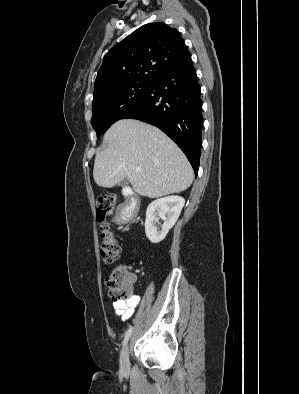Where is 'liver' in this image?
Listing matches in <instances>:
<instances>
[{"label": "liver", "instance_id": "1", "mask_svg": "<svg viewBox=\"0 0 299 394\" xmlns=\"http://www.w3.org/2000/svg\"><path fill=\"white\" fill-rule=\"evenodd\" d=\"M106 149L95 157L93 177L111 188L125 177L141 196L158 198L186 190L193 169L181 149L158 128L135 119H121L105 133ZM140 167L141 172L136 168Z\"/></svg>", "mask_w": 299, "mask_h": 394}]
</instances>
